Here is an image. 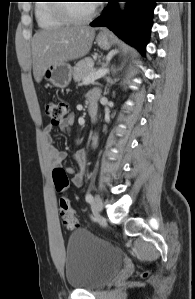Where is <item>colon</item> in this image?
<instances>
[{"instance_id":"obj_1","label":"colon","mask_w":195,"mask_h":299,"mask_svg":"<svg viewBox=\"0 0 195 299\" xmlns=\"http://www.w3.org/2000/svg\"><path fill=\"white\" fill-rule=\"evenodd\" d=\"M67 111L68 106L63 101L49 102L45 106V114L53 125H58L64 119ZM52 177L56 192L63 193L69 184L66 171L61 167H55L52 171ZM59 211L67 229L74 230L79 228L80 223L69 200L65 196H61L59 199Z\"/></svg>"}]
</instances>
